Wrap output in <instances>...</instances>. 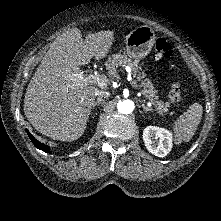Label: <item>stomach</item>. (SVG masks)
<instances>
[{
    "instance_id": "1",
    "label": "stomach",
    "mask_w": 221,
    "mask_h": 221,
    "mask_svg": "<svg viewBox=\"0 0 221 221\" xmlns=\"http://www.w3.org/2000/svg\"><path fill=\"white\" fill-rule=\"evenodd\" d=\"M156 35L154 30L147 26H140L126 36L125 44L127 54L130 58L139 62L151 51Z\"/></svg>"
}]
</instances>
